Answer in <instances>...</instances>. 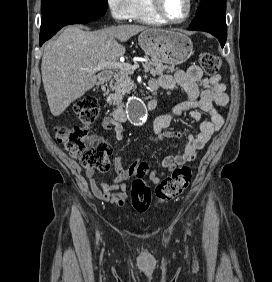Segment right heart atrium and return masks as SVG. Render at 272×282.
I'll use <instances>...</instances> for the list:
<instances>
[{
	"label": "right heart atrium",
	"mask_w": 272,
	"mask_h": 282,
	"mask_svg": "<svg viewBox=\"0 0 272 282\" xmlns=\"http://www.w3.org/2000/svg\"><path fill=\"white\" fill-rule=\"evenodd\" d=\"M137 0H106L107 8L112 18L125 21L132 18L137 11Z\"/></svg>",
	"instance_id": "obj_1"
}]
</instances>
